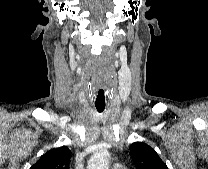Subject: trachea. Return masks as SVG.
Listing matches in <instances>:
<instances>
[{"mask_svg":"<svg viewBox=\"0 0 208 169\" xmlns=\"http://www.w3.org/2000/svg\"><path fill=\"white\" fill-rule=\"evenodd\" d=\"M95 107H96V109H97V111H98L99 113L103 112L104 109H105V105H104V106H97V105H95Z\"/></svg>","mask_w":208,"mask_h":169,"instance_id":"trachea-1","label":"trachea"}]
</instances>
